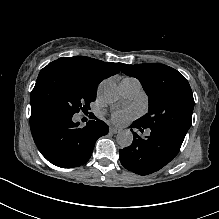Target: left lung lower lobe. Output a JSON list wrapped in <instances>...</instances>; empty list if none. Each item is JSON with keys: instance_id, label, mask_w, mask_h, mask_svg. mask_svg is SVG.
I'll return each instance as SVG.
<instances>
[{"instance_id": "1", "label": "left lung lower lobe", "mask_w": 219, "mask_h": 219, "mask_svg": "<svg viewBox=\"0 0 219 219\" xmlns=\"http://www.w3.org/2000/svg\"><path fill=\"white\" fill-rule=\"evenodd\" d=\"M131 128L150 132L145 138L133 132V143L119 150L121 164L139 175L151 174L167 165L178 154L184 140L176 133L146 128L137 121L132 123Z\"/></svg>"}]
</instances>
